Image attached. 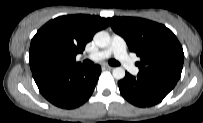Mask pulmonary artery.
I'll list each match as a JSON object with an SVG mask.
<instances>
[{
    "mask_svg": "<svg viewBox=\"0 0 203 123\" xmlns=\"http://www.w3.org/2000/svg\"><path fill=\"white\" fill-rule=\"evenodd\" d=\"M114 55L116 59L133 75L139 72V68L130 58L126 51V44L124 39L119 35H113L111 44L108 48L97 51L87 56L92 61H101Z\"/></svg>",
    "mask_w": 203,
    "mask_h": 123,
    "instance_id": "e3ab8cb5",
    "label": "pulmonary artery"
}]
</instances>
